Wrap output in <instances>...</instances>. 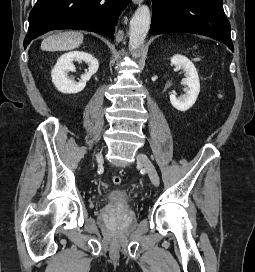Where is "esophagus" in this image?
Segmentation results:
<instances>
[{
	"label": "esophagus",
	"mask_w": 255,
	"mask_h": 272,
	"mask_svg": "<svg viewBox=\"0 0 255 272\" xmlns=\"http://www.w3.org/2000/svg\"><path fill=\"white\" fill-rule=\"evenodd\" d=\"M135 4H141L144 0H132Z\"/></svg>",
	"instance_id": "1"
}]
</instances>
